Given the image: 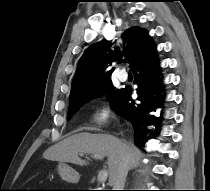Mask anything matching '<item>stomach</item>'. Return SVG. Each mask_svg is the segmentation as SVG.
<instances>
[{"label": "stomach", "instance_id": "obj_1", "mask_svg": "<svg viewBox=\"0 0 210 191\" xmlns=\"http://www.w3.org/2000/svg\"><path fill=\"white\" fill-rule=\"evenodd\" d=\"M57 170L61 178L69 183H78L80 180L79 173L63 162L58 164Z\"/></svg>", "mask_w": 210, "mask_h": 191}]
</instances>
